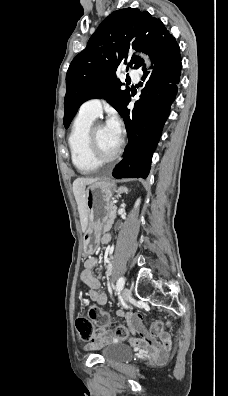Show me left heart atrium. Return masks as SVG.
<instances>
[{"instance_id": "obj_1", "label": "left heart atrium", "mask_w": 228, "mask_h": 396, "mask_svg": "<svg viewBox=\"0 0 228 396\" xmlns=\"http://www.w3.org/2000/svg\"><path fill=\"white\" fill-rule=\"evenodd\" d=\"M106 127L111 131V133L120 139L121 127L119 119L116 115H111L106 123Z\"/></svg>"}]
</instances>
